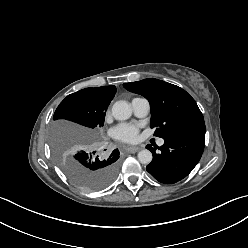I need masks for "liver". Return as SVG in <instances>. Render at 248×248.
<instances>
[{
  "instance_id": "liver-1",
  "label": "liver",
  "mask_w": 248,
  "mask_h": 248,
  "mask_svg": "<svg viewBox=\"0 0 248 248\" xmlns=\"http://www.w3.org/2000/svg\"><path fill=\"white\" fill-rule=\"evenodd\" d=\"M56 128L61 130L63 134H70V133H76L79 135L91 137L92 133L89 129L73 125L67 122H60L56 124Z\"/></svg>"
}]
</instances>
